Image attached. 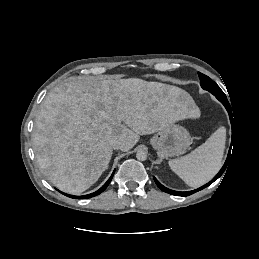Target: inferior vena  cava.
Returning <instances> with one entry per match:
<instances>
[{
  "label": "inferior vena cava",
  "mask_w": 259,
  "mask_h": 259,
  "mask_svg": "<svg viewBox=\"0 0 259 259\" xmlns=\"http://www.w3.org/2000/svg\"><path fill=\"white\" fill-rule=\"evenodd\" d=\"M111 146H112L113 149L119 150V149H122L123 142L119 139H115L111 142Z\"/></svg>",
  "instance_id": "inferior-vena-cava-1"
}]
</instances>
